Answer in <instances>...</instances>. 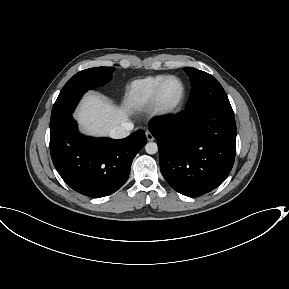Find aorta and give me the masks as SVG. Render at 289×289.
Here are the masks:
<instances>
[{
	"mask_svg": "<svg viewBox=\"0 0 289 289\" xmlns=\"http://www.w3.org/2000/svg\"><path fill=\"white\" fill-rule=\"evenodd\" d=\"M145 151L148 153V154H155L157 153L158 151V146L156 143L154 142H149L145 145Z\"/></svg>",
	"mask_w": 289,
	"mask_h": 289,
	"instance_id": "1",
	"label": "aorta"
}]
</instances>
